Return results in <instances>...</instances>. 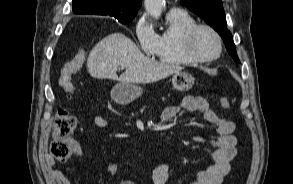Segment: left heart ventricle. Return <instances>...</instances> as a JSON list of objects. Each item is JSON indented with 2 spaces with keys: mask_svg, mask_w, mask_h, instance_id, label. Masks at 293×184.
<instances>
[{
  "mask_svg": "<svg viewBox=\"0 0 293 184\" xmlns=\"http://www.w3.org/2000/svg\"><path fill=\"white\" fill-rule=\"evenodd\" d=\"M193 50L201 57H210L217 53L218 44L209 31L200 30L194 37Z\"/></svg>",
  "mask_w": 293,
  "mask_h": 184,
  "instance_id": "1",
  "label": "left heart ventricle"
}]
</instances>
